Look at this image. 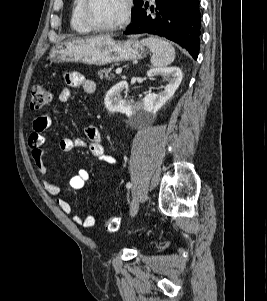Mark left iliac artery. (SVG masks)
I'll return each instance as SVG.
<instances>
[{
    "mask_svg": "<svg viewBox=\"0 0 267 301\" xmlns=\"http://www.w3.org/2000/svg\"><path fill=\"white\" fill-rule=\"evenodd\" d=\"M132 187V184L130 183V182H128L127 184H126V188L127 189H130Z\"/></svg>",
    "mask_w": 267,
    "mask_h": 301,
    "instance_id": "44dca946",
    "label": "left iliac artery"
}]
</instances>
